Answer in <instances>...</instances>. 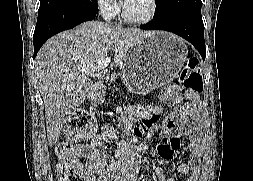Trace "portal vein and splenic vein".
Segmentation results:
<instances>
[{"label":"portal vein and splenic vein","instance_id":"obj_1","mask_svg":"<svg viewBox=\"0 0 253 181\" xmlns=\"http://www.w3.org/2000/svg\"><path fill=\"white\" fill-rule=\"evenodd\" d=\"M111 62V57H105L98 61L96 65H85L82 67V71L87 75H93L96 72L104 70Z\"/></svg>","mask_w":253,"mask_h":181}]
</instances>
